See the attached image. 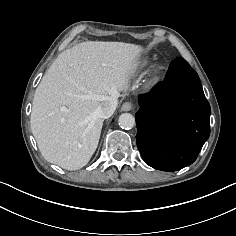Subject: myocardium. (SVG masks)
<instances>
[{
	"label": "myocardium",
	"mask_w": 236,
	"mask_h": 236,
	"mask_svg": "<svg viewBox=\"0 0 236 236\" xmlns=\"http://www.w3.org/2000/svg\"><path fill=\"white\" fill-rule=\"evenodd\" d=\"M162 73H163L162 67L156 68L147 80V87L148 88L155 87L161 81Z\"/></svg>",
	"instance_id": "obj_1"
}]
</instances>
